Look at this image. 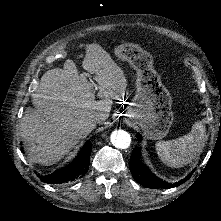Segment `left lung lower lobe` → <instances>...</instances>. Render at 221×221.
<instances>
[{
  "mask_svg": "<svg viewBox=\"0 0 221 221\" xmlns=\"http://www.w3.org/2000/svg\"><path fill=\"white\" fill-rule=\"evenodd\" d=\"M136 137L139 141L142 140V137H141L140 134H137ZM139 152H140L139 147H135L133 149L131 157H130L129 168H130V171H131L132 176L134 177V179L138 183L143 185L144 187L152 188V189L172 188V187H176V186H179V185L183 184L184 182H186L192 176L193 172L188 174L187 177H185L184 179H182L179 182H176L174 184L167 183V182L163 181L162 179L158 178L157 176H155L147 168V166L142 163V161L140 160Z\"/></svg>",
  "mask_w": 221,
  "mask_h": 221,
  "instance_id": "left-lung-lower-lobe-1",
  "label": "left lung lower lobe"
}]
</instances>
